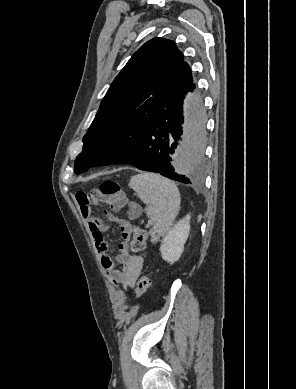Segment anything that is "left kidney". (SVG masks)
<instances>
[{
  "label": "left kidney",
  "mask_w": 296,
  "mask_h": 389,
  "mask_svg": "<svg viewBox=\"0 0 296 389\" xmlns=\"http://www.w3.org/2000/svg\"><path fill=\"white\" fill-rule=\"evenodd\" d=\"M190 215L177 222L163 238L160 245L162 258L170 264L178 261L184 250V244L189 236Z\"/></svg>",
  "instance_id": "1"
}]
</instances>
